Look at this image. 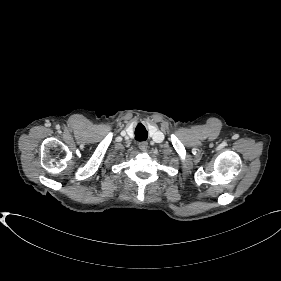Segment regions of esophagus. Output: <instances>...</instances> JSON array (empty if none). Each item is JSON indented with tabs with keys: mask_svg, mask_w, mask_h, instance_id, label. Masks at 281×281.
<instances>
[{
	"mask_svg": "<svg viewBox=\"0 0 281 281\" xmlns=\"http://www.w3.org/2000/svg\"><path fill=\"white\" fill-rule=\"evenodd\" d=\"M138 147L141 151L145 152L148 148V142L146 141L140 142Z\"/></svg>",
	"mask_w": 281,
	"mask_h": 281,
	"instance_id": "esophagus-1",
	"label": "esophagus"
}]
</instances>
